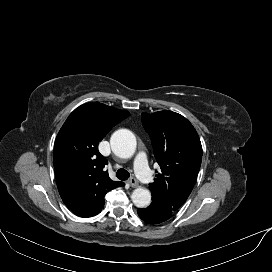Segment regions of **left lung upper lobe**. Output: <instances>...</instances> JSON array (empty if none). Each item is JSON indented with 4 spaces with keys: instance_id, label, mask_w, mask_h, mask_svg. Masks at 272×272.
I'll use <instances>...</instances> for the list:
<instances>
[{
    "instance_id": "1",
    "label": "left lung upper lobe",
    "mask_w": 272,
    "mask_h": 272,
    "mask_svg": "<svg viewBox=\"0 0 272 272\" xmlns=\"http://www.w3.org/2000/svg\"><path fill=\"white\" fill-rule=\"evenodd\" d=\"M161 171L149 185L152 203L174 213L190 195L202 160V146L192 124L172 111L142 113Z\"/></svg>"
}]
</instances>
